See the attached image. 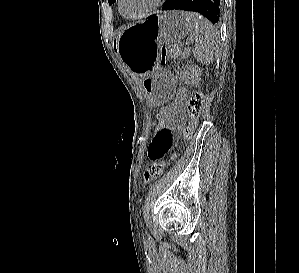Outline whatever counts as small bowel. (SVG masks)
Wrapping results in <instances>:
<instances>
[{
	"mask_svg": "<svg viewBox=\"0 0 299 273\" xmlns=\"http://www.w3.org/2000/svg\"><path fill=\"white\" fill-rule=\"evenodd\" d=\"M185 121L186 118L182 112L168 127L156 129L148 147V157L151 161H158L168 153L173 147L174 141L179 137Z\"/></svg>",
	"mask_w": 299,
	"mask_h": 273,
	"instance_id": "small-bowel-1",
	"label": "small bowel"
}]
</instances>
